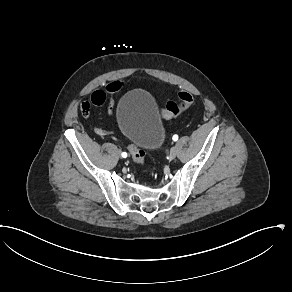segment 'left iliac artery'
Segmentation results:
<instances>
[{"label":"left iliac artery","instance_id":"left-iliac-artery-1","mask_svg":"<svg viewBox=\"0 0 292 292\" xmlns=\"http://www.w3.org/2000/svg\"><path fill=\"white\" fill-rule=\"evenodd\" d=\"M172 139H173V141H177L178 140V136L174 135Z\"/></svg>","mask_w":292,"mask_h":292}]
</instances>
